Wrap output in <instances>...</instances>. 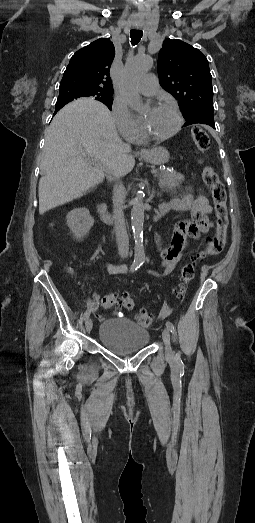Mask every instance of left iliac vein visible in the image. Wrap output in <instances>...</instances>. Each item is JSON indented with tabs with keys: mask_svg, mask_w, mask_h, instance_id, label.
<instances>
[{
	"mask_svg": "<svg viewBox=\"0 0 255 523\" xmlns=\"http://www.w3.org/2000/svg\"><path fill=\"white\" fill-rule=\"evenodd\" d=\"M162 338H163V341L165 343V354H166V358L168 360H171L173 359L174 357V354H173V351L171 349V343H170V332H169V329L168 328H165L162 332Z\"/></svg>",
	"mask_w": 255,
	"mask_h": 523,
	"instance_id": "left-iliac-vein-1",
	"label": "left iliac vein"
}]
</instances>
